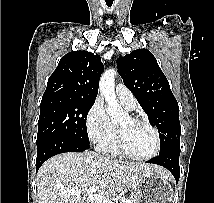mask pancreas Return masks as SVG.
<instances>
[{"label":"pancreas","mask_w":214,"mask_h":203,"mask_svg":"<svg viewBox=\"0 0 214 203\" xmlns=\"http://www.w3.org/2000/svg\"><path fill=\"white\" fill-rule=\"evenodd\" d=\"M126 200H127V203H136L135 199H126Z\"/></svg>","instance_id":"1"}]
</instances>
